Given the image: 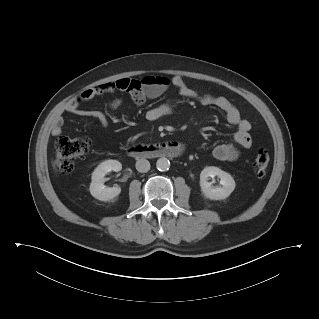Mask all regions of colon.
<instances>
[{
    "label": "colon",
    "mask_w": 319,
    "mask_h": 319,
    "mask_svg": "<svg viewBox=\"0 0 319 319\" xmlns=\"http://www.w3.org/2000/svg\"><path fill=\"white\" fill-rule=\"evenodd\" d=\"M169 80L164 76L148 75L139 80H128L124 91L130 95L141 92L145 95H155L163 92ZM91 142L85 137L62 136L55 142L54 154L58 170L67 174L72 171L75 163L81 159L90 149ZM270 162L269 153L259 149L254 157L253 167L258 177L266 174Z\"/></svg>",
    "instance_id": "5ec220e1"
}]
</instances>
